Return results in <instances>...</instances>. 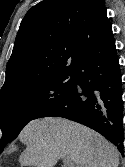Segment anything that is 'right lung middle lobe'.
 I'll use <instances>...</instances> for the list:
<instances>
[{"mask_svg": "<svg viewBox=\"0 0 125 167\" xmlns=\"http://www.w3.org/2000/svg\"><path fill=\"white\" fill-rule=\"evenodd\" d=\"M74 79L73 72L61 73L0 99V145L14 140L42 107L61 98L73 86Z\"/></svg>", "mask_w": 125, "mask_h": 167, "instance_id": "1", "label": "right lung middle lobe"}]
</instances>
